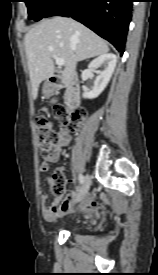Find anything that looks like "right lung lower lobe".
I'll list each match as a JSON object with an SVG mask.
<instances>
[{
  "instance_id": "right-lung-lower-lobe-1",
  "label": "right lung lower lobe",
  "mask_w": 158,
  "mask_h": 275,
  "mask_svg": "<svg viewBox=\"0 0 158 275\" xmlns=\"http://www.w3.org/2000/svg\"><path fill=\"white\" fill-rule=\"evenodd\" d=\"M132 2L133 0H60L44 18L72 17L112 43L122 55L132 16Z\"/></svg>"
}]
</instances>
